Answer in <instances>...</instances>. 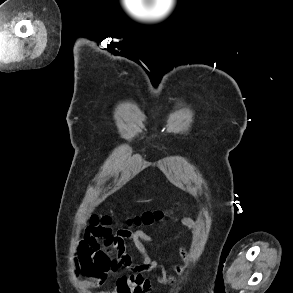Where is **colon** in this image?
<instances>
[{
  "label": "colon",
  "mask_w": 293,
  "mask_h": 293,
  "mask_svg": "<svg viewBox=\"0 0 293 293\" xmlns=\"http://www.w3.org/2000/svg\"><path fill=\"white\" fill-rule=\"evenodd\" d=\"M173 216L172 210H146L140 214L130 217L127 220L129 226H153L161 224ZM113 220L110 216L92 215L89 219V227L91 231L97 234H104L110 231Z\"/></svg>",
  "instance_id": "colon-1"
}]
</instances>
